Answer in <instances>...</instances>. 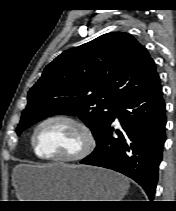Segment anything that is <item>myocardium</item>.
<instances>
[{"instance_id":"1","label":"myocardium","mask_w":176,"mask_h":211,"mask_svg":"<svg viewBox=\"0 0 176 211\" xmlns=\"http://www.w3.org/2000/svg\"><path fill=\"white\" fill-rule=\"evenodd\" d=\"M54 121H63V122L70 123L81 131L82 136H83V145L78 153L71 156L47 157V156H42L38 152L37 145H36V137H37L38 131L44 125L50 122H54ZM31 146L35 155L41 160L59 162V163L77 162L87 157L94 150L96 146V138L92 129L82 120L75 118L73 116H69V115L57 114V115H53V116L43 119L41 122H39L36 125L31 135Z\"/></svg>"}]
</instances>
